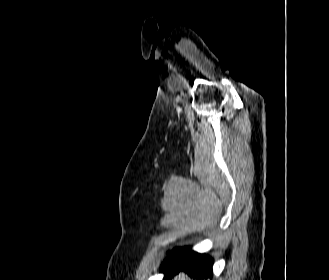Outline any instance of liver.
Masks as SVG:
<instances>
[{"label":"liver","instance_id":"6515ba94","mask_svg":"<svg viewBox=\"0 0 329 280\" xmlns=\"http://www.w3.org/2000/svg\"><path fill=\"white\" fill-rule=\"evenodd\" d=\"M176 280H190V279H188L184 274H180L178 279Z\"/></svg>","mask_w":329,"mask_h":280}]
</instances>
